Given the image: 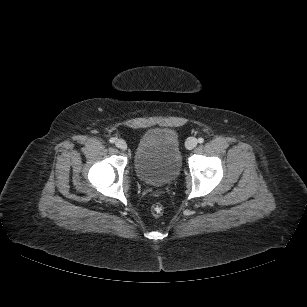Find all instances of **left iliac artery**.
I'll return each instance as SVG.
<instances>
[{"instance_id":"obj_1","label":"left iliac artery","mask_w":307,"mask_h":307,"mask_svg":"<svg viewBox=\"0 0 307 307\" xmlns=\"http://www.w3.org/2000/svg\"><path fill=\"white\" fill-rule=\"evenodd\" d=\"M204 142V139L202 137L198 138V143H203Z\"/></svg>"}]
</instances>
